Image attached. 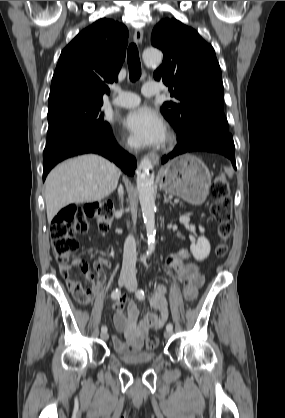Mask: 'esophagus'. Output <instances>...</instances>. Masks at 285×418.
Masks as SVG:
<instances>
[{"label": "esophagus", "mask_w": 285, "mask_h": 418, "mask_svg": "<svg viewBox=\"0 0 285 418\" xmlns=\"http://www.w3.org/2000/svg\"><path fill=\"white\" fill-rule=\"evenodd\" d=\"M143 40V30L141 28H137L134 31V42L136 44H141ZM151 160L154 165L159 163V155L157 153L151 154Z\"/></svg>", "instance_id": "34e87169"}]
</instances>
